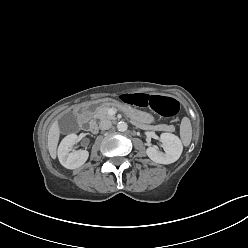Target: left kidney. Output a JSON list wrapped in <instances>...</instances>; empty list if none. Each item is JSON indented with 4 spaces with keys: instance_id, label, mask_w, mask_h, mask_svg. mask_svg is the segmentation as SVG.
<instances>
[{
    "instance_id": "5707ae66",
    "label": "left kidney",
    "mask_w": 248,
    "mask_h": 248,
    "mask_svg": "<svg viewBox=\"0 0 248 248\" xmlns=\"http://www.w3.org/2000/svg\"><path fill=\"white\" fill-rule=\"evenodd\" d=\"M160 139L164 153L159 151L157 147L151 146L146 149L147 156L160 164H170L177 161L183 151L180 139L171 133H162Z\"/></svg>"
}]
</instances>
